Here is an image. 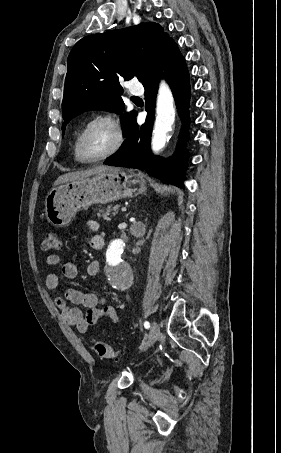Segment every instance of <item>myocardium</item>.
<instances>
[{"label": "myocardium", "mask_w": 281, "mask_h": 453, "mask_svg": "<svg viewBox=\"0 0 281 453\" xmlns=\"http://www.w3.org/2000/svg\"><path fill=\"white\" fill-rule=\"evenodd\" d=\"M97 125H105L109 127L114 134V142L105 150L96 154L94 156L84 158L81 156V143L87 132ZM124 142V133L118 123L109 116H97L89 119L83 124V126L78 131L73 144V153L75 158L81 163H94L101 160H104L115 153L121 148Z\"/></svg>", "instance_id": "obj_1"}]
</instances>
